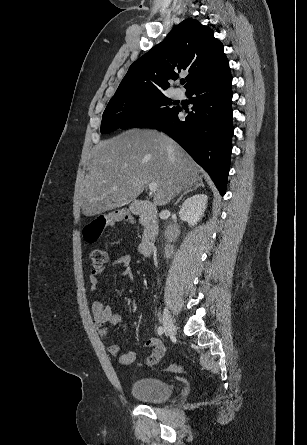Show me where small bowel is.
Instances as JSON below:
<instances>
[{
	"instance_id": "small-bowel-1",
	"label": "small bowel",
	"mask_w": 307,
	"mask_h": 445,
	"mask_svg": "<svg viewBox=\"0 0 307 445\" xmlns=\"http://www.w3.org/2000/svg\"><path fill=\"white\" fill-rule=\"evenodd\" d=\"M132 258L128 254H124L115 258L111 263V267H122V276L127 280H134V271L131 267ZM105 272V268H95L89 274V283L91 290L95 292L98 287V278ZM91 312L93 314L94 326L100 336L107 340V331L109 326H116L122 322V316L115 314L110 306L101 302L94 301L91 304ZM147 346L150 347L151 353L145 358L144 365L152 366L158 363L164 355L165 349L162 341L158 337L151 338L147 341ZM107 350L112 355L117 357V360L122 365H130L135 361L136 355L133 351L120 353V347L117 343L107 342Z\"/></svg>"
}]
</instances>
